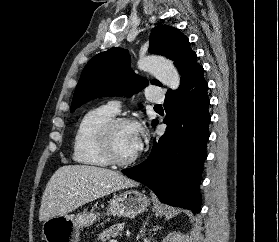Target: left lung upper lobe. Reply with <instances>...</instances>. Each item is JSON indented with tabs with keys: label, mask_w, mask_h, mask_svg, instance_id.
Wrapping results in <instances>:
<instances>
[{
	"label": "left lung upper lobe",
	"mask_w": 279,
	"mask_h": 242,
	"mask_svg": "<svg viewBox=\"0 0 279 242\" xmlns=\"http://www.w3.org/2000/svg\"><path fill=\"white\" fill-rule=\"evenodd\" d=\"M149 52L164 55L174 61L182 75L188 59L194 54L188 38L178 29L168 25L153 28L150 35ZM130 58L124 49L111 48L95 55L85 66L76 86L71 112L84 102L99 96L133 95L140 87L148 84L139 79L130 69ZM152 84L161 86L158 80ZM157 120H153L155 125Z\"/></svg>",
	"instance_id": "1"
}]
</instances>
